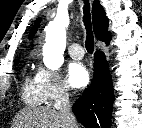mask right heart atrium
Returning a JSON list of instances; mask_svg holds the SVG:
<instances>
[{
    "mask_svg": "<svg viewBox=\"0 0 142 128\" xmlns=\"http://www.w3.org/2000/svg\"><path fill=\"white\" fill-rule=\"evenodd\" d=\"M36 79L44 101L58 103L68 98V87L57 72L41 66L37 70Z\"/></svg>",
    "mask_w": 142,
    "mask_h": 128,
    "instance_id": "1",
    "label": "right heart atrium"
}]
</instances>
